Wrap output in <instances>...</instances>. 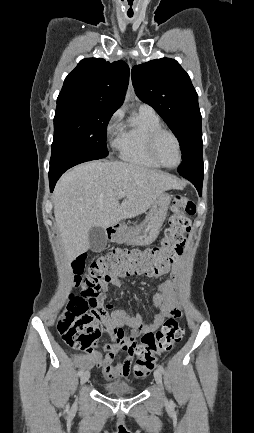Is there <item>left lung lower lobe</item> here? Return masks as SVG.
I'll use <instances>...</instances> for the list:
<instances>
[{
    "label": "left lung lower lobe",
    "instance_id": "0a47b994",
    "mask_svg": "<svg viewBox=\"0 0 254 433\" xmlns=\"http://www.w3.org/2000/svg\"><path fill=\"white\" fill-rule=\"evenodd\" d=\"M179 174L184 178L188 179L190 182H192L195 185L196 189L198 190L199 195L201 196L204 174H198L195 172H184Z\"/></svg>",
    "mask_w": 254,
    "mask_h": 433
}]
</instances>
